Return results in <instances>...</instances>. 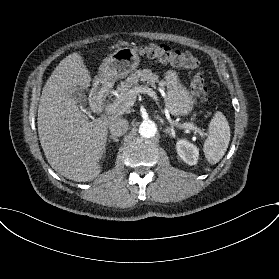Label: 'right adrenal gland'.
<instances>
[{
  "instance_id": "1",
  "label": "right adrenal gland",
  "mask_w": 279,
  "mask_h": 279,
  "mask_svg": "<svg viewBox=\"0 0 279 279\" xmlns=\"http://www.w3.org/2000/svg\"><path fill=\"white\" fill-rule=\"evenodd\" d=\"M112 141L118 143L120 141V137L110 136L108 142L111 143Z\"/></svg>"
}]
</instances>
